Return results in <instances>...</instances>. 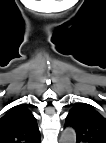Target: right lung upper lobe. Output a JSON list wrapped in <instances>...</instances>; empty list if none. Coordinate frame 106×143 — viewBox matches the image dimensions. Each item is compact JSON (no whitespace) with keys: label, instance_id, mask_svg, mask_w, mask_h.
Wrapping results in <instances>:
<instances>
[{"label":"right lung upper lobe","instance_id":"obj_1","mask_svg":"<svg viewBox=\"0 0 106 143\" xmlns=\"http://www.w3.org/2000/svg\"><path fill=\"white\" fill-rule=\"evenodd\" d=\"M40 132L33 114L18 105L0 117V143H38Z\"/></svg>","mask_w":106,"mask_h":143}]
</instances>
